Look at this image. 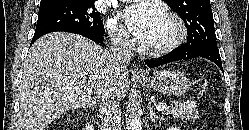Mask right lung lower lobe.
<instances>
[{"mask_svg": "<svg viewBox=\"0 0 249 130\" xmlns=\"http://www.w3.org/2000/svg\"><path fill=\"white\" fill-rule=\"evenodd\" d=\"M58 31H64V32H69V33H75V34H80L83 35L89 39H91L92 41L96 42V43H101L104 40V34L100 35V34H96L94 32L85 30V29H81V28H67V29H62V30H58ZM55 32V31H53ZM50 33V32H48ZM47 33H42V34H34L32 41H31V45L41 36L45 35Z\"/></svg>", "mask_w": 249, "mask_h": 130, "instance_id": "right-lung-lower-lobe-1", "label": "right lung lower lobe"}]
</instances>
